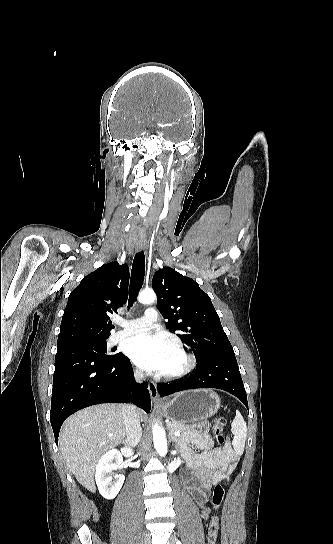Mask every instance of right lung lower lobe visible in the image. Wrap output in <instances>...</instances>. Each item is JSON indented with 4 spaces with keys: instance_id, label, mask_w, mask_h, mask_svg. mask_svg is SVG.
Instances as JSON below:
<instances>
[{
    "instance_id": "obj_1",
    "label": "right lung lower lobe",
    "mask_w": 333,
    "mask_h": 544,
    "mask_svg": "<svg viewBox=\"0 0 333 544\" xmlns=\"http://www.w3.org/2000/svg\"><path fill=\"white\" fill-rule=\"evenodd\" d=\"M131 398L138 407L150 412L148 385L135 382L131 362L122 353L110 360L103 359L85 342L57 349L50 413L56 444L61 425L74 412L95 404L124 403Z\"/></svg>"
}]
</instances>
